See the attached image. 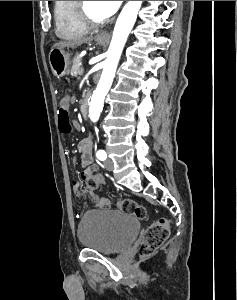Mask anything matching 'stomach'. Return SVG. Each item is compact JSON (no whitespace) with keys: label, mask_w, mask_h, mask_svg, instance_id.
Masks as SVG:
<instances>
[{"label":"stomach","mask_w":237,"mask_h":300,"mask_svg":"<svg viewBox=\"0 0 237 300\" xmlns=\"http://www.w3.org/2000/svg\"><path fill=\"white\" fill-rule=\"evenodd\" d=\"M98 45H105L107 41H97ZM49 63L55 77L68 75L70 67V53L64 49H51L49 53Z\"/></svg>","instance_id":"1"}]
</instances>
